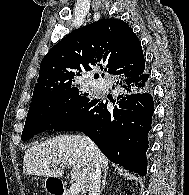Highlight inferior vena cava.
I'll return each instance as SVG.
<instances>
[{
    "label": "inferior vena cava",
    "instance_id": "602c4592",
    "mask_svg": "<svg viewBox=\"0 0 189 195\" xmlns=\"http://www.w3.org/2000/svg\"><path fill=\"white\" fill-rule=\"evenodd\" d=\"M90 142V145L93 146V142ZM100 182H101V167L98 162H96L93 166V169L89 178V187L88 192L89 195H100Z\"/></svg>",
    "mask_w": 189,
    "mask_h": 195
}]
</instances>
